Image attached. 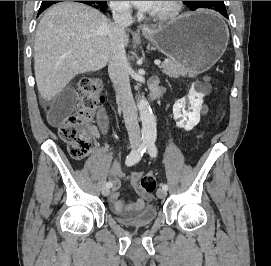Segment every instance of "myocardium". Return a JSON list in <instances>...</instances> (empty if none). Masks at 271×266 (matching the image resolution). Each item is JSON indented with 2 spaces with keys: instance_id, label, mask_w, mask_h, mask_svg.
Masks as SVG:
<instances>
[{
  "instance_id": "obj_1",
  "label": "myocardium",
  "mask_w": 271,
  "mask_h": 266,
  "mask_svg": "<svg viewBox=\"0 0 271 266\" xmlns=\"http://www.w3.org/2000/svg\"><path fill=\"white\" fill-rule=\"evenodd\" d=\"M182 10V1H168L162 11H153L151 17L159 21H167L176 17Z\"/></svg>"
}]
</instances>
